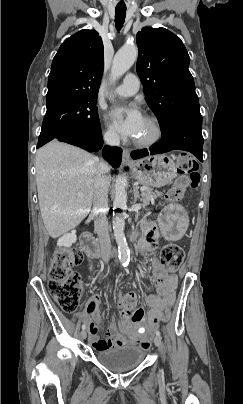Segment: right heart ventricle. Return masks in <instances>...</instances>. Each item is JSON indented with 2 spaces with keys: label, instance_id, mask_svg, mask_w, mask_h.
<instances>
[{
  "label": "right heart ventricle",
  "instance_id": "1",
  "mask_svg": "<svg viewBox=\"0 0 243 404\" xmlns=\"http://www.w3.org/2000/svg\"><path fill=\"white\" fill-rule=\"evenodd\" d=\"M132 46H133V43L130 42V43H128L124 48L126 49V48H130V47H132Z\"/></svg>",
  "mask_w": 243,
  "mask_h": 404
}]
</instances>
